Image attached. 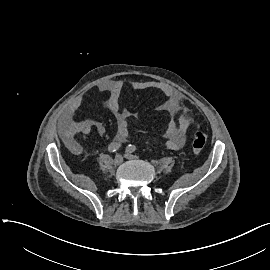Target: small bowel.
<instances>
[{
  "label": "small bowel",
  "mask_w": 270,
  "mask_h": 270,
  "mask_svg": "<svg viewBox=\"0 0 270 270\" xmlns=\"http://www.w3.org/2000/svg\"><path fill=\"white\" fill-rule=\"evenodd\" d=\"M124 88L122 81H107L100 86V91L107 94L106 105L113 114L117 132L115 140L124 142L129 135L128 122L131 116L130 112L122 109L120 105V96ZM135 90L154 89L160 91L165 97V102L159 107L162 112L169 113L170 119L167 128L163 134L165 146L170 150H180L186 140V135L190 126V115L184 106L183 95L176 89L167 84L157 81H141L132 85ZM82 103V97H78L67 110L63 122V136L66 139H73L76 134L88 135L94 129L103 136L106 134V126L98 120L80 119L78 111ZM182 112L180 118L176 120L172 114Z\"/></svg>",
  "instance_id": "1"
}]
</instances>
